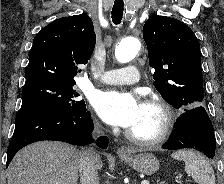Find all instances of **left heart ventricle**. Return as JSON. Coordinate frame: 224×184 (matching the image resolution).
Listing matches in <instances>:
<instances>
[{
  "label": "left heart ventricle",
  "instance_id": "1",
  "mask_svg": "<svg viewBox=\"0 0 224 184\" xmlns=\"http://www.w3.org/2000/svg\"><path fill=\"white\" fill-rule=\"evenodd\" d=\"M162 120L163 115L158 108L142 104L138 119L129 130L138 137L151 138L159 132Z\"/></svg>",
  "mask_w": 224,
  "mask_h": 184
}]
</instances>
